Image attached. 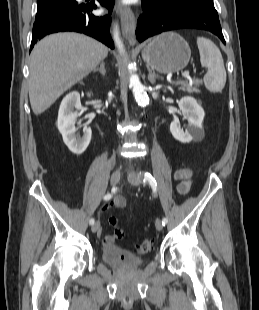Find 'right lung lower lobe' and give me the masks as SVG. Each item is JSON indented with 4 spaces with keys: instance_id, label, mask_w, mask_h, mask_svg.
I'll return each mask as SVG.
<instances>
[{
    "instance_id": "obj_1",
    "label": "right lung lower lobe",
    "mask_w": 259,
    "mask_h": 310,
    "mask_svg": "<svg viewBox=\"0 0 259 310\" xmlns=\"http://www.w3.org/2000/svg\"><path fill=\"white\" fill-rule=\"evenodd\" d=\"M101 5L110 9L109 14L95 16L91 14L97 6L94 4H77L69 8L50 9L36 14L32 31L30 51L34 44L44 36L60 31H76L92 36L110 48H114L109 28L111 24V9L114 0H98Z\"/></svg>"
}]
</instances>
